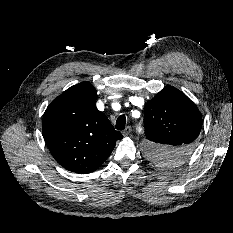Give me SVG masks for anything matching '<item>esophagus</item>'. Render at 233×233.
Listing matches in <instances>:
<instances>
[{"instance_id":"obj_1","label":"esophagus","mask_w":233,"mask_h":233,"mask_svg":"<svg viewBox=\"0 0 233 233\" xmlns=\"http://www.w3.org/2000/svg\"><path fill=\"white\" fill-rule=\"evenodd\" d=\"M130 133H131V127L128 126V127H126V128L124 129L123 135H124V136H128Z\"/></svg>"}]
</instances>
